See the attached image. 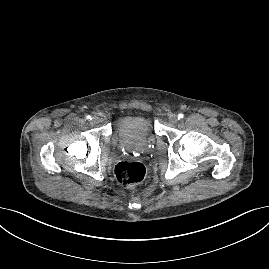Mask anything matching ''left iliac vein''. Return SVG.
Instances as JSON below:
<instances>
[{"instance_id":"1","label":"left iliac vein","mask_w":269,"mask_h":269,"mask_svg":"<svg viewBox=\"0 0 269 269\" xmlns=\"http://www.w3.org/2000/svg\"><path fill=\"white\" fill-rule=\"evenodd\" d=\"M178 122V117L176 115H171L169 118L170 124H176Z\"/></svg>"}]
</instances>
